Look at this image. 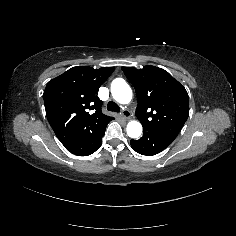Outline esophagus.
Wrapping results in <instances>:
<instances>
[{
    "instance_id": "34e87169",
    "label": "esophagus",
    "mask_w": 236,
    "mask_h": 236,
    "mask_svg": "<svg viewBox=\"0 0 236 236\" xmlns=\"http://www.w3.org/2000/svg\"><path fill=\"white\" fill-rule=\"evenodd\" d=\"M129 115H130V112L126 109H124L122 111V116L125 118V119H129Z\"/></svg>"
}]
</instances>
